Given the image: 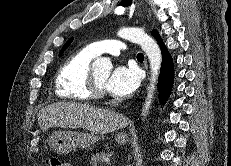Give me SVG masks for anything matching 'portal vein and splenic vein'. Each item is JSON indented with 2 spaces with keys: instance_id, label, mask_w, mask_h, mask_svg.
<instances>
[{
  "instance_id": "obj_1",
  "label": "portal vein and splenic vein",
  "mask_w": 231,
  "mask_h": 166,
  "mask_svg": "<svg viewBox=\"0 0 231 166\" xmlns=\"http://www.w3.org/2000/svg\"><path fill=\"white\" fill-rule=\"evenodd\" d=\"M104 162H105V163H109V162H110V159L107 157V158L104 159Z\"/></svg>"
}]
</instances>
